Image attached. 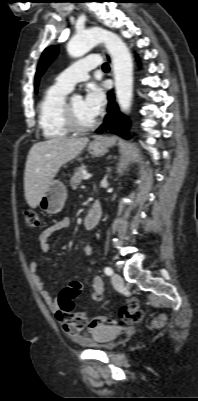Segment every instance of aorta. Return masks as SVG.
<instances>
[{"mask_svg":"<svg viewBox=\"0 0 198 401\" xmlns=\"http://www.w3.org/2000/svg\"><path fill=\"white\" fill-rule=\"evenodd\" d=\"M103 42L112 57L115 89L122 112L130 110L133 95V62L126 44L115 33L100 27L90 28L75 35L67 44L70 56L78 58L98 43Z\"/></svg>","mask_w":198,"mask_h":401,"instance_id":"obj_1","label":"aorta"}]
</instances>
